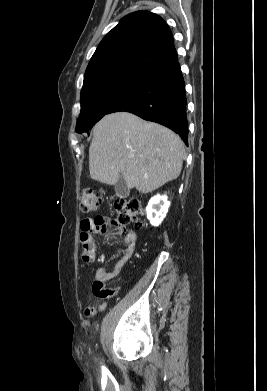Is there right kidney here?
<instances>
[{
	"instance_id": "obj_1",
	"label": "right kidney",
	"mask_w": 267,
	"mask_h": 391,
	"mask_svg": "<svg viewBox=\"0 0 267 391\" xmlns=\"http://www.w3.org/2000/svg\"><path fill=\"white\" fill-rule=\"evenodd\" d=\"M170 202L166 195H156L150 199L146 207L147 218L153 226H159L166 217Z\"/></svg>"
}]
</instances>
